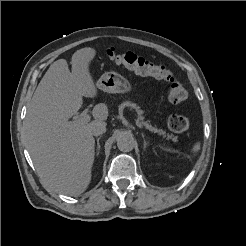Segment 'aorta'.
<instances>
[{
  "mask_svg": "<svg viewBox=\"0 0 246 246\" xmlns=\"http://www.w3.org/2000/svg\"><path fill=\"white\" fill-rule=\"evenodd\" d=\"M117 147L122 152H129L134 148V138L129 133H120L117 138Z\"/></svg>",
  "mask_w": 246,
  "mask_h": 246,
  "instance_id": "762f6f07",
  "label": "aorta"
}]
</instances>
